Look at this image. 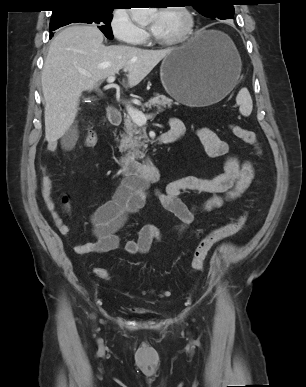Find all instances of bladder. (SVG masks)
<instances>
[{
  "label": "bladder",
  "instance_id": "1",
  "mask_svg": "<svg viewBox=\"0 0 306 387\" xmlns=\"http://www.w3.org/2000/svg\"><path fill=\"white\" fill-rule=\"evenodd\" d=\"M141 313H143V314H155L156 312L153 310H141Z\"/></svg>",
  "mask_w": 306,
  "mask_h": 387
}]
</instances>
